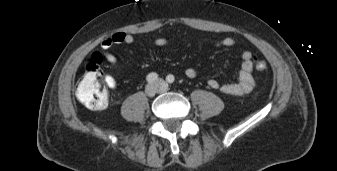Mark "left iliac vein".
Wrapping results in <instances>:
<instances>
[{
    "instance_id": "4c4485c4",
    "label": "left iliac vein",
    "mask_w": 337,
    "mask_h": 171,
    "mask_svg": "<svg viewBox=\"0 0 337 171\" xmlns=\"http://www.w3.org/2000/svg\"><path fill=\"white\" fill-rule=\"evenodd\" d=\"M155 84L159 87L160 92H164L167 90V85L163 80L158 79Z\"/></svg>"
}]
</instances>
